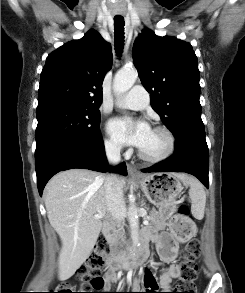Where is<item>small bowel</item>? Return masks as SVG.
Masks as SVG:
<instances>
[{"label": "small bowel", "mask_w": 245, "mask_h": 293, "mask_svg": "<svg viewBox=\"0 0 245 293\" xmlns=\"http://www.w3.org/2000/svg\"><path fill=\"white\" fill-rule=\"evenodd\" d=\"M142 240L144 243L152 240L157 248L158 254L163 261L170 262L173 261L178 253L179 245L186 241L185 237H176L171 231H164L162 233H156L151 230H144L142 233ZM180 275V266L178 264H171L168 268L163 269L160 275V289L162 291H169L171 288L172 281L178 278ZM143 285L146 288L152 287L149 272L147 270L143 271ZM118 284L119 287H124L125 283L123 280L119 279L117 274L110 270L105 275V285L104 289L110 288L112 284ZM134 287L139 286V282L134 280L129 282ZM167 293V292H163Z\"/></svg>", "instance_id": "1"}]
</instances>
